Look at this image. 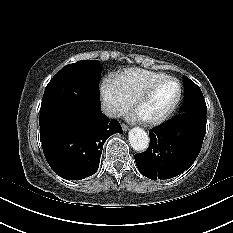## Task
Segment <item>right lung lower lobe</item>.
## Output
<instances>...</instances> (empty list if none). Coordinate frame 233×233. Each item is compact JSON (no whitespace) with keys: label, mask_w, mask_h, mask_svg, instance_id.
Instances as JSON below:
<instances>
[{"label":"right lung lower lobe","mask_w":233,"mask_h":233,"mask_svg":"<svg viewBox=\"0 0 233 233\" xmlns=\"http://www.w3.org/2000/svg\"><path fill=\"white\" fill-rule=\"evenodd\" d=\"M76 120H59L40 127L43 152L50 167L62 178L80 180L99 167L103 145L121 133L118 121L101 112L100 100L83 97Z\"/></svg>","instance_id":"1"}]
</instances>
